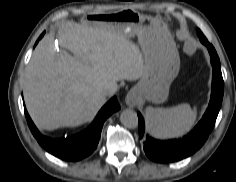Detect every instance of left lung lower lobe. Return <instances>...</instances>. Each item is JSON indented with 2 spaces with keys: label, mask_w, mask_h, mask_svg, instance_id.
Masks as SVG:
<instances>
[{
  "label": "left lung lower lobe",
  "mask_w": 236,
  "mask_h": 182,
  "mask_svg": "<svg viewBox=\"0 0 236 182\" xmlns=\"http://www.w3.org/2000/svg\"><path fill=\"white\" fill-rule=\"evenodd\" d=\"M213 66V65H212ZM224 93V81L221 66H213L212 90L209 107L197 126L185 137L178 140L158 141L147 136L144 151L153 161L159 163L174 162L196 152L206 141L218 116ZM139 135L143 137L144 121L140 113Z\"/></svg>",
  "instance_id": "obj_1"
}]
</instances>
